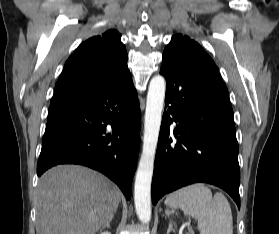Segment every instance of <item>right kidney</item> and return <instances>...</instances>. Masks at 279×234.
<instances>
[{
	"instance_id": "1",
	"label": "right kidney",
	"mask_w": 279,
	"mask_h": 234,
	"mask_svg": "<svg viewBox=\"0 0 279 234\" xmlns=\"http://www.w3.org/2000/svg\"><path fill=\"white\" fill-rule=\"evenodd\" d=\"M100 234H111V233L108 231H104V232H101Z\"/></svg>"
}]
</instances>
